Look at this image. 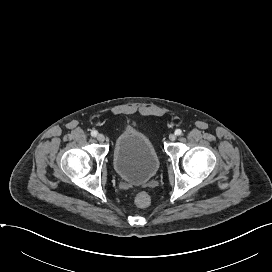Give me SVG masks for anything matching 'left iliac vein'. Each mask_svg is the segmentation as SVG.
Segmentation results:
<instances>
[{"label": "left iliac vein", "instance_id": "left-iliac-vein-1", "mask_svg": "<svg viewBox=\"0 0 272 272\" xmlns=\"http://www.w3.org/2000/svg\"><path fill=\"white\" fill-rule=\"evenodd\" d=\"M169 139L171 141H175L176 140V134H170Z\"/></svg>", "mask_w": 272, "mask_h": 272}]
</instances>
